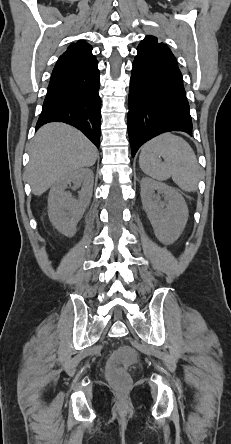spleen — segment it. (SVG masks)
<instances>
[{"instance_id":"spleen-1","label":"spleen","mask_w":231,"mask_h":444,"mask_svg":"<svg viewBox=\"0 0 231 444\" xmlns=\"http://www.w3.org/2000/svg\"><path fill=\"white\" fill-rule=\"evenodd\" d=\"M139 164L146 175L156 180L171 177L183 191L197 190L200 167L193 149L183 138L165 134L150 140L141 149Z\"/></svg>"}]
</instances>
